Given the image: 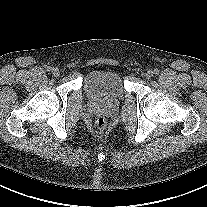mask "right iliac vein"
<instances>
[{"mask_svg":"<svg viewBox=\"0 0 207 207\" xmlns=\"http://www.w3.org/2000/svg\"><path fill=\"white\" fill-rule=\"evenodd\" d=\"M52 73L55 77H58L60 75V70L58 68H54Z\"/></svg>","mask_w":207,"mask_h":207,"instance_id":"right-iliac-vein-1","label":"right iliac vein"}]
</instances>
